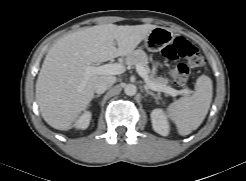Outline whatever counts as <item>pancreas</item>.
Listing matches in <instances>:
<instances>
[{"label":"pancreas","instance_id":"1","mask_svg":"<svg viewBox=\"0 0 246 181\" xmlns=\"http://www.w3.org/2000/svg\"><path fill=\"white\" fill-rule=\"evenodd\" d=\"M125 63L126 65L132 67V66H136V65H141L144 67V69L146 70L147 74H149V79L154 82L155 84L158 85H162V86H166L169 82V80L167 78L164 77H155V75L153 74V72L151 71V69L148 66V57L147 54L141 50H135L133 51L130 55H128L125 58Z\"/></svg>","mask_w":246,"mask_h":181}]
</instances>
